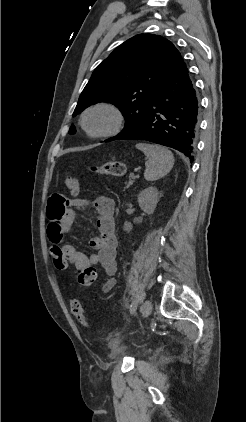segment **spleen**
Here are the masks:
<instances>
[{"label":"spleen","mask_w":246,"mask_h":422,"mask_svg":"<svg viewBox=\"0 0 246 422\" xmlns=\"http://www.w3.org/2000/svg\"><path fill=\"white\" fill-rule=\"evenodd\" d=\"M136 148L141 150L148 158L144 172V177L147 181H156L164 177L172 169L174 156L166 147L156 144L138 143Z\"/></svg>","instance_id":"obj_1"}]
</instances>
